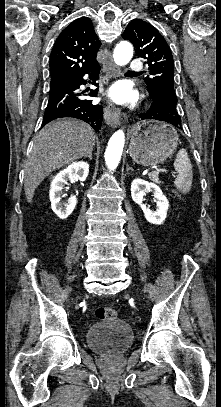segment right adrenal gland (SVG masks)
<instances>
[{"instance_id": "1", "label": "right adrenal gland", "mask_w": 221, "mask_h": 407, "mask_svg": "<svg viewBox=\"0 0 221 407\" xmlns=\"http://www.w3.org/2000/svg\"><path fill=\"white\" fill-rule=\"evenodd\" d=\"M85 157H88L90 160H92V153H88L87 155H85Z\"/></svg>"}]
</instances>
